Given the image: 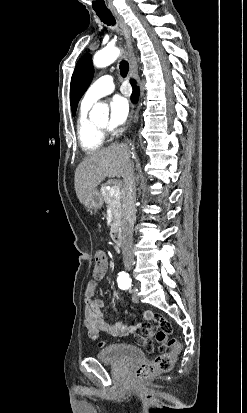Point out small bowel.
I'll return each mask as SVG.
<instances>
[{
	"instance_id": "small-bowel-1",
	"label": "small bowel",
	"mask_w": 247,
	"mask_h": 413,
	"mask_svg": "<svg viewBox=\"0 0 247 413\" xmlns=\"http://www.w3.org/2000/svg\"><path fill=\"white\" fill-rule=\"evenodd\" d=\"M92 281L87 282L83 298L84 326L88 336L95 341L102 333H108L113 337H125L137 333L134 336L135 346L139 349H148L149 354H154L152 338L155 336V331L153 329L171 331L173 324L165 322L164 315H153L151 311H144L137 322L126 324L123 319H119L113 324L109 323L106 315L101 311L106 307V303L101 299H92L97 291V283H102L104 276L94 274Z\"/></svg>"
}]
</instances>
